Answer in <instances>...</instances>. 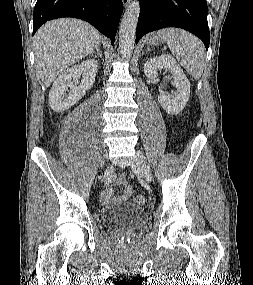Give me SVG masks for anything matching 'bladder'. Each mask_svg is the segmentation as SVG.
<instances>
[{
    "label": "bladder",
    "mask_w": 253,
    "mask_h": 285,
    "mask_svg": "<svg viewBox=\"0 0 253 285\" xmlns=\"http://www.w3.org/2000/svg\"><path fill=\"white\" fill-rule=\"evenodd\" d=\"M100 219L103 227L107 230H133L147 222V212L141 207L126 204L103 209L100 213Z\"/></svg>",
    "instance_id": "obj_1"
}]
</instances>
